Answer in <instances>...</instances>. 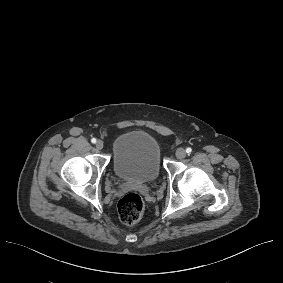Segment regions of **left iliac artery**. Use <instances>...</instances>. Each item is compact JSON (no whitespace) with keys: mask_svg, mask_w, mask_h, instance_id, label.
I'll return each instance as SVG.
<instances>
[{"mask_svg":"<svg viewBox=\"0 0 283 283\" xmlns=\"http://www.w3.org/2000/svg\"><path fill=\"white\" fill-rule=\"evenodd\" d=\"M191 151H192V149H191L190 147H188V148L186 149V152H187L188 154H190Z\"/></svg>","mask_w":283,"mask_h":283,"instance_id":"1","label":"left iliac artery"}]
</instances>
